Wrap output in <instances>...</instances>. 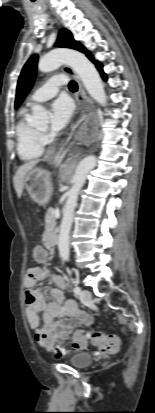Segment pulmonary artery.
<instances>
[{
  "label": "pulmonary artery",
  "mask_w": 155,
  "mask_h": 413,
  "mask_svg": "<svg viewBox=\"0 0 155 413\" xmlns=\"http://www.w3.org/2000/svg\"><path fill=\"white\" fill-rule=\"evenodd\" d=\"M67 82L68 77L64 74L48 78L41 87L33 92L27 102V105L31 106L53 98L59 92L60 86L66 84Z\"/></svg>",
  "instance_id": "1"
}]
</instances>
